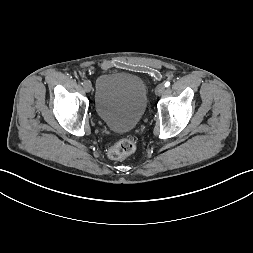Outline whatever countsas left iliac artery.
Masks as SVG:
<instances>
[{
  "label": "left iliac artery",
  "instance_id": "obj_1",
  "mask_svg": "<svg viewBox=\"0 0 253 253\" xmlns=\"http://www.w3.org/2000/svg\"><path fill=\"white\" fill-rule=\"evenodd\" d=\"M165 86H166V87H169V86H170V82L167 81V82L165 83Z\"/></svg>",
  "mask_w": 253,
  "mask_h": 253
}]
</instances>
